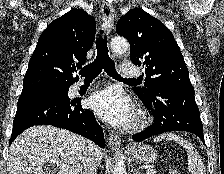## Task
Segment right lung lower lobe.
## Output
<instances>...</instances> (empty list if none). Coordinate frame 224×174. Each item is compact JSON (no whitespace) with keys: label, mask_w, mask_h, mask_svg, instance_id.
<instances>
[{"label":"right lung lower lobe","mask_w":224,"mask_h":174,"mask_svg":"<svg viewBox=\"0 0 224 174\" xmlns=\"http://www.w3.org/2000/svg\"><path fill=\"white\" fill-rule=\"evenodd\" d=\"M69 86L42 87L22 91L9 145L25 129L53 125L78 133L105 147L104 133L92 111L83 109L79 100H70Z\"/></svg>","instance_id":"right-lung-lower-lobe-1"}]
</instances>
